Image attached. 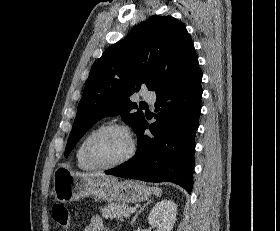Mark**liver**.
<instances>
[{"instance_id": "1", "label": "liver", "mask_w": 280, "mask_h": 231, "mask_svg": "<svg viewBox=\"0 0 280 231\" xmlns=\"http://www.w3.org/2000/svg\"><path fill=\"white\" fill-rule=\"evenodd\" d=\"M77 175H83V177H102V179L112 177V175H104V173H80V171H77ZM112 179H116V177H112Z\"/></svg>"}]
</instances>
